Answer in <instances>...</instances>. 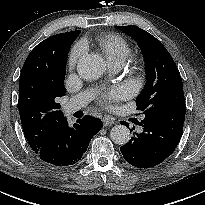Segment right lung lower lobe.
<instances>
[{"instance_id": "98d812e1", "label": "right lung lower lobe", "mask_w": 205, "mask_h": 205, "mask_svg": "<svg viewBox=\"0 0 205 205\" xmlns=\"http://www.w3.org/2000/svg\"><path fill=\"white\" fill-rule=\"evenodd\" d=\"M99 119L85 116L70 127L66 118L36 151L41 160L54 167L76 164L86 152L92 137L101 129Z\"/></svg>"}]
</instances>
